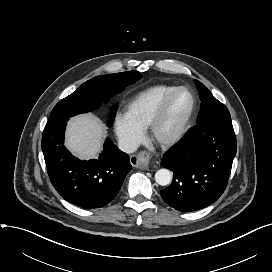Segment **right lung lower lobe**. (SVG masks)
Returning <instances> with one entry per match:
<instances>
[{
	"instance_id": "obj_1",
	"label": "right lung lower lobe",
	"mask_w": 272,
	"mask_h": 272,
	"mask_svg": "<svg viewBox=\"0 0 272 272\" xmlns=\"http://www.w3.org/2000/svg\"><path fill=\"white\" fill-rule=\"evenodd\" d=\"M69 118L46 124L42 136L49 178L58 193L81 208H99L118 193L132 169L129 156L107 138L98 159L81 161L64 146V131Z\"/></svg>"
}]
</instances>
